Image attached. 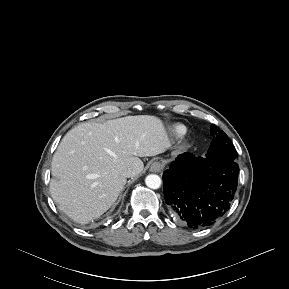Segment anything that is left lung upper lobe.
Instances as JSON below:
<instances>
[{"mask_svg":"<svg viewBox=\"0 0 289 289\" xmlns=\"http://www.w3.org/2000/svg\"><path fill=\"white\" fill-rule=\"evenodd\" d=\"M211 135L214 139L210 144L207 155L217 162L235 161L237 152L228 136L216 125H212Z\"/></svg>","mask_w":289,"mask_h":289,"instance_id":"obj_1","label":"left lung upper lobe"}]
</instances>
